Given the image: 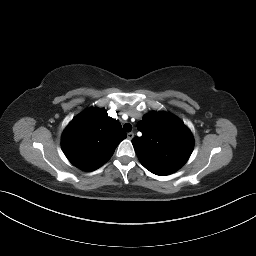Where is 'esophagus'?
Masks as SVG:
<instances>
[{
  "label": "esophagus",
  "mask_w": 256,
  "mask_h": 256,
  "mask_svg": "<svg viewBox=\"0 0 256 256\" xmlns=\"http://www.w3.org/2000/svg\"><path fill=\"white\" fill-rule=\"evenodd\" d=\"M133 137H134V133H133V132H129V133L127 134V138H128L129 140L133 139Z\"/></svg>",
  "instance_id": "esophagus-1"
}]
</instances>
